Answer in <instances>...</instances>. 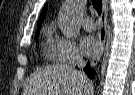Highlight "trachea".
Listing matches in <instances>:
<instances>
[{
  "instance_id": "obj_1",
  "label": "trachea",
  "mask_w": 135,
  "mask_h": 95,
  "mask_svg": "<svg viewBox=\"0 0 135 95\" xmlns=\"http://www.w3.org/2000/svg\"><path fill=\"white\" fill-rule=\"evenodd\" d=\"M92 4L94 9L97 11L98 14L102 12V1L101 0H92Z\"/></svg>"
}]
</instances>
